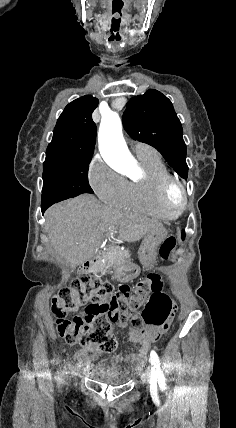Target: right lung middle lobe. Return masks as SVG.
I'll return each instance as SVG.
<instances>
[{"label":"right lung middle lobe","mask_w":236,"mask_h":428,"mask_svg":"<svg viewBox=\"0 0 236 428\" xmlns=\"http://www.w3.org/2000/svg\"><path fill=\"white\" fill-rule=\"evenodd\" d=\"M91 157L46 158L43 172L42 205L93 193L88 182Z\"/></svg>","instance_id":"right-lung-middle-lobe-1"}]
</instances>
